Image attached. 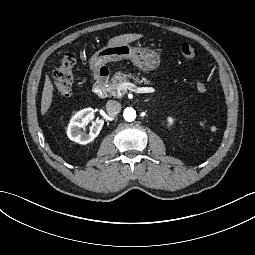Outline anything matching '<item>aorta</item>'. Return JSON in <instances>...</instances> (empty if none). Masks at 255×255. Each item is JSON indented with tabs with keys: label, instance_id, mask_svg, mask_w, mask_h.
I'll use <instances>...</instances> for the list:
<instances>
[{
	"label": "aorta",
	"instance_id": "1",
	"mask_svg": "<svg viewBox=\"0 0 255 255\" xmlns=\"http://www.w3.org/2000/svg\"><path fill=\"white\" fill-rule=\"evenodd\" d=\"M123 117L126 121L132 122L136 118V111L132 107L125 108Z\"/></svg>",
	"mask_w": 255,
	"mask_h": 255
}]
</instances>
